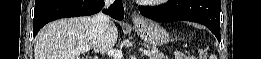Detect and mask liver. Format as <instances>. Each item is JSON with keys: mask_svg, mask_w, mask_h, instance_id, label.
Wrapping results in <instances>:
<instances>
[{"mask_svg": "<svg viewBox=\"0 0 261 59\" xmlns=\"http://www.w3.org/2000/svg\"><path fill=\"white\" fill-rule=\"evenodd\" d=\"M118 30L110 22L105 33L92 27L89 16L65 18L46 25L38 33L34 45L35 59H81L74 51L90 47L94 53L110 50L117 42ZM88 59V58H82Z\"/></svg>", "mask_w": 261, "mask_h": 59, "instance_id": "obj_1", "label": "liver"}]
</instances>
